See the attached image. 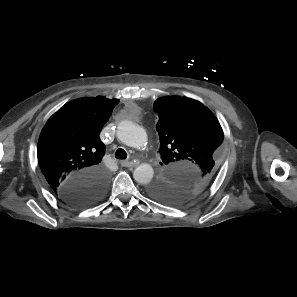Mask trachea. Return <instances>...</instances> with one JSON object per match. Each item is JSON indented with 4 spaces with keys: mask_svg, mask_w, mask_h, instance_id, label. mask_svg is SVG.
I'll use <instances>...</instances> for the list:
<instances>
[{
    "mask_svg": "<svg viewBox=\"0 0 297 297\" xmlns=\"http://www.w3.org/2000/svg\"><path fill=\"white\" fill-rule=\"evenodd\" d=\"M115 157L117 159H126L127 158V153L124 149L119 148L117 149L116 153H115Z\"/></svg>",
    "mask_w": 297,
    "mask_h": 297,
    "instance_id": "trachea-1",
    "label": "trachea"
}]
</instances>
